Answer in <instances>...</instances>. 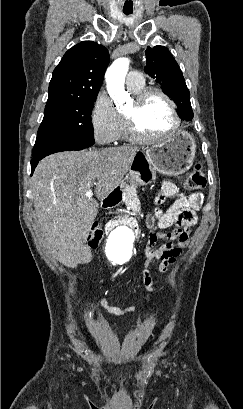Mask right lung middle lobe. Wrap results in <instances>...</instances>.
Listing matches in <instances>:
<instances>
[{"label":"right lung middle lobe","mask_w":243,"mask_h":409,"mask_svg":"<svg viewBox=\"0 0 243 409\" xmlns=\"http://www.w3.org/2000/svg\"><path fill=\"white\" fill-rule=\"evenodd\" d=\"M94 99L47 102L38 136L73 138L93 137L91 112Z\"/></svg>","instance_id":"dd1d6c3e"}]
</instances>
